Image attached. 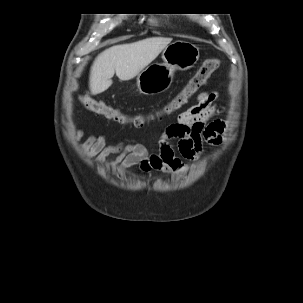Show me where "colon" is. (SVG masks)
Masks as SVG:
<instances>
[{
	"label": "colon",
	"instance_id": "obj_1",
	"mask_svg": "<svg viewBox=\"0 0 303 303\" xmlns=\"http://www.w3.org/2000/svg\"><path fill=\"white\" fill-rule=\"evenodd\" d=\"M219 66L220 62L217 59L205 60L182 90L163 107L159 117L181 109L202 86L207 84L211 74L218 69ZM80 102L86 110L103 115L119 124H132L139 127L148 121V119L141 115L130 116L123 113L117 107L111 105L107 100L102 98L83 97Z\"/></svg>",
	"mask_w": 303,
	"mask_h": 303
}]
</instances>
